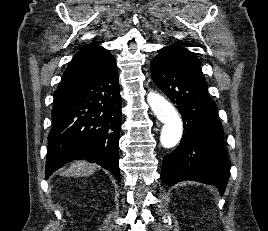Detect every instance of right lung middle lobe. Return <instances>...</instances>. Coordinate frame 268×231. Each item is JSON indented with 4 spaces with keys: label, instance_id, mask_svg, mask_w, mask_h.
<instances>
[{
    "label": "right lung middle lobe",
    "instance_id": "obj_1",
    "mask_svg": "<svg viewBox=\"0 0 268 231\" xmlns=\"http://www.w3.org/2000/svg\"><path fill=\"white\" fill-rule=\"evenodd\" d=\"M70 94H71V91L55 92L54 93V105H59L62 102H64L69 97Z\"/></svg>",
    "mask_w": 268,
    "mask_h": 231
}]
</instances>
